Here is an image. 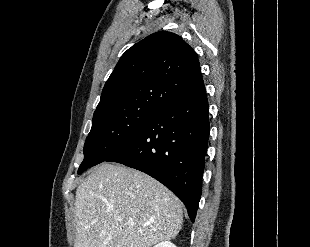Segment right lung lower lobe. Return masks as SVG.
I'll use <instances>...</instances> for the list:
<instances>
[{
  "label": "right lung lower lobe",
  "instance_id": "1",
  "mask_svg": "<svg viewBox=\"0 0 310 247\" xmlns=\"http://www.w3.org/2000/svg\"><path fill=\"white\" fill-rule=\"evenodd\" d=\"M210 124L205 87L159 109L119 151L105 161L140 170L168 187L194 222Z\"/></svg>",
  "mask_w": 310,
  "mask_h": 247
}]
</instances>
